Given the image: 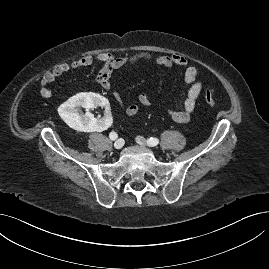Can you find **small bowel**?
Masks as SVG:
<instances>
[{"label": "small bowel", "mask_w": 269, "mask_h": 269, "mask_svg": "<svg viewBox=\"0 0 269 269\" xmlns=\"http://www.w3.org/2000/svg\"><path fill=\"white\" fill-rule=\"evenodd\" d=\"M95 59L101 64L96 79L99 85L105 90H110L112 87L111 75L114 70L131 67L143 61L154 62L164 68H171L174 66L181 68L183 70L187 92L186 95L178 102L177 107L169 110L168 114L175 122L180 124H186L190 121L197 99L201 94L203 83L196 80L199 75L198 68L189 65L187 59L181 55H154L143 50L136 51L130 55L122 57H117L107 52H101L95 57L92 55H85L77 60L59 64L46 71L39 82L40 95L46 99L51 98L52 91L49 88V84L65 73L90 66ZM113 96L128 116L136 115L140 106H151V100L146 93L139 94L138 103L130 104H124L120 94L116 91L113 92Z\"/></svg>", "instance_id": "small-bowel-1"}]
</instances>
